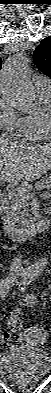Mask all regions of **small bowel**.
Listing matches in <instances>:
<instances>
[{
    "instance_id": "obj_1",
    "label": "small bowel",
    "mask_w": 51,
    "mask_h": 393,
    "mask_svg": "<svg viewBox=\"0 0 51 393\" xmlns=\"http://www.w3.org/2000/svg\"><path fill=\"white\" fill-rule=\"evenodd\" d=\"M39 303V298L36 295H28L18 300V307L11 310V315H19L21 313V307H35ZM31 330V329H30ZM4 338H9V333L3 334Z\"/></svg>"
}]
</instances>
